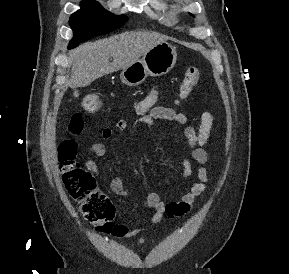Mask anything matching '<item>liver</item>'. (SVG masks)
<instances>
[{
  "label": "liver",
  "instance_id": "obj_1",
  "mask_svg": "<svg viewBox=\"0 0 289 274\" xmlns=\"http://www.w3.org/2000/svg\"><path fill=\"white\" fill-rule=\"evenodd\" d=\"M163 41L164 38L156 33L126 32L86 43L70 53L72 72L69 86L86 87L103 75L123 70Z\"/></svg>",
  "mask_w": 289,
  "mask_h": 274
}]
</instances>
